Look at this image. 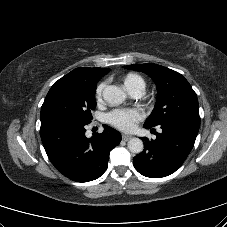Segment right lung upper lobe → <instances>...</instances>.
Here are the masks:
<instances>
[{
    "label": "right lung upper lobe",
    "mask_w": 227,
    "mask_h": 227,
    "mask_svg": "<svg viewBox=\"0 0 227 227\" xmlns=\"http://www.w3.org/2000/svg\"><path fill=\"white\" fill-rule=\"evenodd\" d=\"M109 72V69L107 68H76L70 73H68V76H77V77H93V78H99L106 75Z\"/></svg>",
    "instance_id": "obj_1"
}]
</instances>
